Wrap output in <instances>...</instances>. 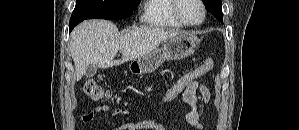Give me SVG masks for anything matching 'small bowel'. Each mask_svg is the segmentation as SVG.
Wrapping results in <instances>:
<instances>
[{"label": "small bowel", "mask_w": 299, "mask_h": 130, "mask_svg": "<svg viewBox=\"0 0 299 130\" xmlns=\"http://www.w3.org/2000/svg\"><path fill=\"white\" fill-rule=\"evenodd\" d=\"M200 93L206 102L210 99V92L208 88L201 82L188 87L182 94L183 104L186 108V121L190 126L196 130H203L204 126L200 121V115L196 108L197 95ZM109 113L111 116L125 115L126 111L123 109L111 110L107 104L96 106L93 110L85 113L81 117L83 123H90L94 120L96 113ZM164 130L163 126L153 120H144L138 122H127L109 130Z\"/></svg>", "instance_id": "1"}]
</instances>
